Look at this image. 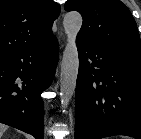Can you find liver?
<instances>
[{"instance_id": "6515ba94", "label": "liver", "mask_w": 141, "mask_h": 139, "mask_svg": "<svg viewBox=\"0 0 141 139\" xmlns=\"http://www.w3.org/2000/svg\"><path fill=\"white\" fill-rule=\"evenodd\" d=\"M7 128L8 127L6 125L0 123V139L3 135V133L7 130Z\"/></svg>"}]
</instances>
